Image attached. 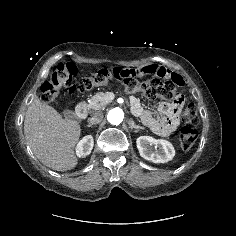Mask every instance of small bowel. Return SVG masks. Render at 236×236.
<instances>
[{
  "mask_svg": "<svg viewBox=\"0 0 236 236\" xmlns=\"http://www.w3.org/2000/svg\"><path fill=\"white\" fill-rule=\"evenodd\" d=\"M113 75L117 80L129 82L148 81L152 78V75H157L171 78L177 85L182 83L180 77L172 74L164 67L157 65H148L142 69L139 67H118L114 70ZM181 104L179 106L163 104L161 106V110L165 114L163 117H156L151 111L144 109L136 99L132 102V108L134 113L141 118L145 125L162 136H168L171 135L177 127L176 113Z\"/></svg>",
  "mask_w": 236,
  "mask_h": 236,
  "instance_id": "c3829d8e",
  "label": "small bowel"
}]
</instances>
